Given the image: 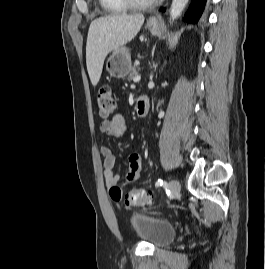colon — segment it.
Masks as SVG:
<instances>
[{
  "label": "colon",
  "instance_id": "obj_1",
  "mask_svg": "<svg viewBox=\"0 0 265 269\" xmlns=\"http://www.w3.org/2000/svg\"><path fill=\"white\" fill-rule=\"evenodd\" d=\"M97 104L99 115L102 118H107L115 113L116 102L110 86L104 85L99 89ZM110 195L116 200L124 199L127 204L133 206L144 207L151 201V194L141 189H134L127 193H123L120 187L113 186L110 188Z\"/></svg>",
  "mask_w": 265,
  "mask_h": 269
}]
</instances>
